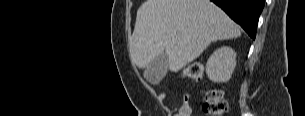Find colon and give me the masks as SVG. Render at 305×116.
Instances as JSON below:
<instances>
[{
    "instance_id": "obj_1",
    "label": "colon",
    "mask_w": 305,
    "mask_h": 116,
    "mask_svg": "<svg viewBox=\"0 0 305 116\" xmlns=\"http://www.w3.org/2000/svg\"><path fill=\"white\" fill-rule=\"evenodd\" d=\"M182 76L185 78L200 81L204 77V68L202 64L190 63L183 71ZM204 112L209 116H222L229 112V105L224 99L223 93L217 88H209L206 92L205 102L203 104ZM191 109L188 98H183V103L179 112L175 116H190Z\"/></svg>"
}]
</instances>
